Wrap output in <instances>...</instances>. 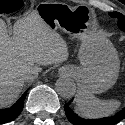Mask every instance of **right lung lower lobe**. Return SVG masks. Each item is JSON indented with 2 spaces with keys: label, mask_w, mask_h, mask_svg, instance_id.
Wrapping results in <instances>:
<instances>
[{
  "label": "right lung lower lobe",
  "mask_w": 125,
  "mask_h": 125,
  "mask_svg": "<svg viewBox=\"0 0 125 125\" xmlns=\"http://www.w3.org/2000/svg\"><path fill=\"white\" fill-rule=\"evenodd\" d=\"M27 91L10 108L0 109V124L15 120L21 113Z\"/></svg>",
  "instance_id": "98d812e1"
}]
</instances>
